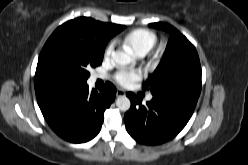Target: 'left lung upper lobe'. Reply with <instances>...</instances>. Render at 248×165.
Listing matches in <instances>:
<instances>
[{"label":"left lung upper lobe","mask_w":248,"mask_h":165,"mask_svg":"<svg viewBox=\"0 0 248 165\" xmlns=\"http://www.w3.org/2000/svg\"><path fill=\"white\" fill-rule=\"evenodd\" d=\"M150 26L172 34L163 58L147 79L144 89L153 96L198 100L201 92V65L194 45L173 26L156 22Z\"/></svg>","instance_id":"left-lung-upper-lobe-1"}]
</instances>
